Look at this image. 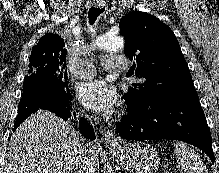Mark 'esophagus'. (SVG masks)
I'll use <instances>...</instances> for the list:
<instances>
[{
	"label": "esophagus",
	"mask_w": 219,
	"mask_h": 173,
	"mask_svg": "<svg viewBox=\"0 0 219 173\" xmlns=\"http://www.w3.org/2000/svg\"><path fill=\"white\" fill-rule=\"evenodd\" d=\"M95 6L98 8H103L104 4L95 3ZM103 136H104L105 143L108 146H115V145H118L120 142V139L117 138L115 134L112 132V130L110 129H105Z\"/></svg>",
	"instance_id": "1"
}]
</instances>
